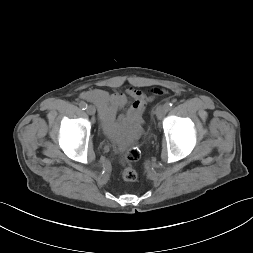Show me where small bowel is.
Instances as JSON below:
<instances>
[{
    "label": "small bowel",
    "instance_id": "small-bowel-1",
    "mask_svg": "<svg viewBox=\"0 0 253 253\" xmlns=\"http://www.w3.org/2000/svg\"><path fill=\"white\" fill-rule=\"evenodd\" d=\"M157 93L159 91L155 90L153 95ZM81 98L97 107L104 131L122 149L125 146L124 129L133 135L137 133L142 114L152 96L135 88H128L126 93L92 89L83 92ZM124 109L125 112L119 114Z\"/></svg>",
    "mask_w": 253,
    "mask_h": 253
}]
</instances>
